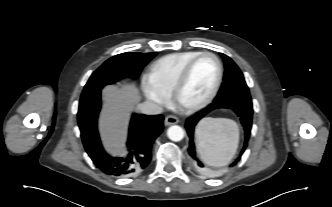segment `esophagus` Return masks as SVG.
Here are the masks:
<instances>
[{
	"mask_svg": "<svg viewBox=\"0 0 332 207\" xmlns=\"http://www.w3.org/2000/svg\"><path fill=\"white\" fill-rule=\"evenodd\" d=\"M178 122H179V119L173 115H168L164 121L166 126L177 124Z\"/></svg>",
	"mask_w": 332,
	"mask_h": 207,
	"instance_id": "34e87169",
	"label": "esophagus"
}]
</instances>
